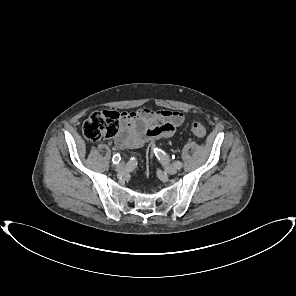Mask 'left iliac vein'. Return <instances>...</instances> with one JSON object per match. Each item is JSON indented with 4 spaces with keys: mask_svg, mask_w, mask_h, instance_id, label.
<instances>
[{
    "mask_svg": "<svg viewBox=\"0 0 296 296\" xmlns=\"http://www.w3.org/2000/svg\"><path fill=\"white\" fill-rule=\"evenodd\" d=\"M164 170H165V172H167L168 174L173 175V174L177 173L178 168H177L175 165H167V164H165V165H164Z\"/></svg>",
    "mask_w": 296,
    "mask_h": 296,
    "instance_id": "1",
    "label": "left iliac vein"
}]
</instances>
